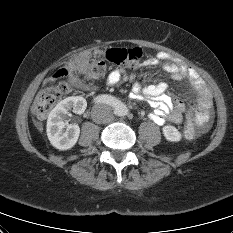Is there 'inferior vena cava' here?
<instances>
[{
	"label": "inferior vena cava",
	"mask_w": 233,
	"mask_h": 233,
	"mask_svg": "<svg viewBox=\"0 0 233 233\" xmlns=\"http://www.w3.org/2000/svg\"><path fill=\"white\" fill-rule=\"evenodd\" d=\"M96 114L94 116L95 121L110 123L113 120V114L107 105L101 104L95 108Z\"/></svg>",
	"instance_id": "602c4592"
}]
</instances>
